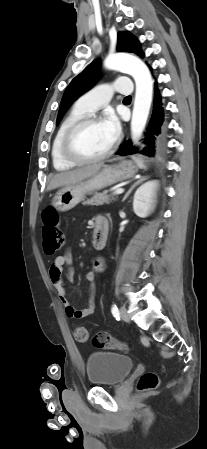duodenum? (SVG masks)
Instances as JSON below:
<instances>
[{
    "label": "duodenum",
    "instance_id": "obj_1",
    "mask_svg": "<svg viewBox=\"0 0 207 449\" xmlns=\"http://www.w3.org/2000/svg\"><path fill=\"white\" fill-rule=\"evenodd\" d=\"M109 225L106 218L96 219V224L93 233V244L96 248L102 249L105 247L107 242Z\"/></svg>",
    "mask_w": 207,
    "mask_h": 449
}]
</instances>
